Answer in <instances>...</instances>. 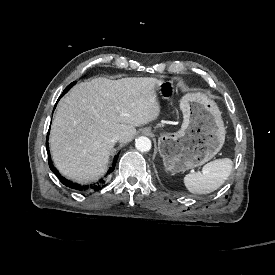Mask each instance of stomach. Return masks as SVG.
<instances>
[{
    "instance_id": "0dacf381",
    "label": "stomach",
    "mask_w": 275,
    "mask_h": 275,
    "mask_svg": "<svg viewBox=\"0 0 275 275\" xmlns=\"http://www.w3.org/2000/svg\"><path fill=\"white\" fill-rule=\"evenodd\" d=\"M154 96L169 100L173 81L158 80ZM183 123L177 132L162 133L158 150L167 171L184 172L211 160L225 142V127L218 105L201 92L187 93L180 100Z\"/></svg>"
}]
</instances>
